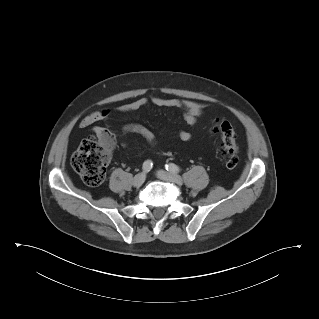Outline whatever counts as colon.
<instances>
[{"instance_id":"5ec220e1","label":"colon","mask_w":319,"mask_h":319,"mask_svg":"<svg viewBox=\"0 0 319 319\" xmlns=\"http://www.w3.org/2000/svg\"><path fill=\"white\" fill-rule=\"evenodd\" d=\"M214 131L219 136L220 154L226 166L234 168L238 163V143L234 127L227 120L217 119L214 123ZM112 147L111 136L87 138L73 154L72 167L87 185L99 186L104 181Z\"/></svg>"}]
</instances>
